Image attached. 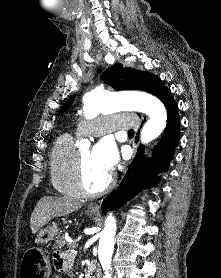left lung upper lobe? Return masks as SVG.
<instances>
[{"mask_svg":"<svg viewBox=\"0 0 221 278\" xmlns=\"http://www.w3.org/2000/svg\"><path fill=\"white\" fill-rule=\"evenodd\" d=\"M104 82L115 90H143L154 94L165 105L173 100L171 92L166 88L161 80L148 72H139L135 69L124 68L121 64H116L108 68L101 76ZM72 96L62 107L61 113L67 110L74 101Z\"/></svg>","mask_w":221,"mask_h":278,"instance_id":"left-lung-upper-lobe-1","label":"left lung upper lobe"}]
</instances>
